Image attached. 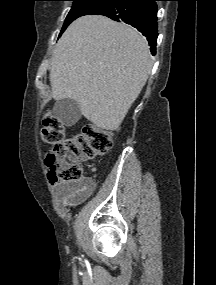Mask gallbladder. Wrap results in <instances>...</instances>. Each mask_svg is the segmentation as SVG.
<instances>
[{"label":"gallbladder","instance_id":"obj_1","mask_svg":"<svg viewBox=\"0 0 216 285\" xmlns=\"http://www.w3.org/2000/svg\"><path fill=\"white\" fill-rule=\"evenodd\" d=\"M53 116L63 125L72 126L80 119L81 111L74 100L66 98L55 103Z\"/></svg>","mask_w":216,"mask_h":285}]
</instances>
